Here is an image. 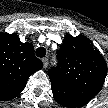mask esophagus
Returning <instances> with one entry per match:
<instances>
[{
    "label": "esophagus",
    "instance_id": "1",
    "mask_svg": "<svg viewBox=\"0 0 108 108\" xmlns=\"http://www.w3.org/2000/svg\"><path fill=\"white\" fill-rule=\"evenodd\" d=\"M42 63H43V67L46 68L48 66V59L47 58H43L42 59Z\"/></svg>",
    "mask_w": 108,
    "mask_h": 108
}]
</instances>
